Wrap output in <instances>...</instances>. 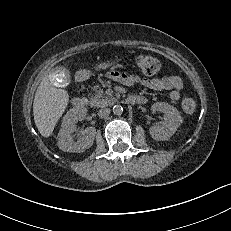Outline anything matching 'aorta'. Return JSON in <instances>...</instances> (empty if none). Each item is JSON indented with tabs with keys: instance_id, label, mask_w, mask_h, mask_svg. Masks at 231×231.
Segmentation results:
<instances>
[{
	"instance_id": "aorta-1",
	"label": "aorta",
	"mask_w": 231,
	"mask_h": 231,
	"mask_svg": "<svg viewBox=\"0 0 231 231\" xmlns=\"http://www.w3.org/2000/svg\"><path fill=\"white\" fill-rule=\"evenodd\" d=\"M123 112V107L119 104L113 106V113L116 115H121Z\"/></svg>"
}]
</instances>
